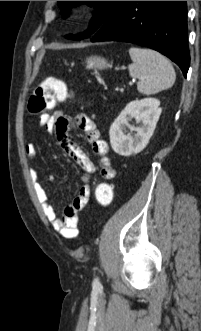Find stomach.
I'll return each mask as SVG.
<instances>
[{"instance_id":"obj_1","label":"stomach","mask_w":201,"mask_h":331,"mask_svg":"<svg viewBox=\"0 0 201 331\" xmlns=\"http://www.w3.org/2000/svg\"><path fill=\"white\" fill-rule=\"evenodd\" d=\"M86 62L89 68L105 69L110 67V64L104 58L98 56H91L87 58Z\"/></svg>"}]
</instances>
